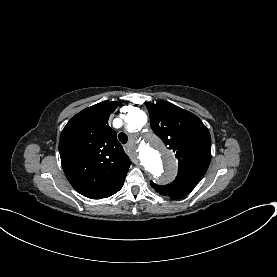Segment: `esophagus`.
<instances>
[{"instance_id": "1", "label": "esophagus", "mask_w": 277, "mask_h": 277, "mask_svg": "<svg viewBox=\"0 0 277 277\" xmlns=\"http://www.w3.org/2000/svg\"><path fill=\"white\" fill-rule=\"evenodd\" d=\"M128 144H132V141L130 140ZM134 163L139 164V160L137 158H134Z\"/></svg>"}]
</instances>
